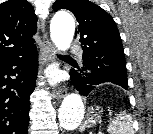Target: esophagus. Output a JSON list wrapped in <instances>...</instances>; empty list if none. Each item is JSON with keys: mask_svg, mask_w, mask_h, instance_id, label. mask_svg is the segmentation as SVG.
<instances>
[{"mask_svg": "<svg viewBox=\"0 0 153 134\" xmlns=\"http://www.w3.org/2000/svg\"><path fill=\"white\" fill-rule=\"evenodd\" d=\"M43 44L41 46V52L45 57L46 62H51L55 59V47L49 40L48 35L44 32ZM53 96L57 100H61L66 95L65 88H57L53 90Z\"/></svg>", "mask_w": 153, "mask_h": 134, "instance_id": "34e87169", "label": "esophagus"}]
</instances>
